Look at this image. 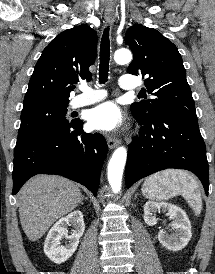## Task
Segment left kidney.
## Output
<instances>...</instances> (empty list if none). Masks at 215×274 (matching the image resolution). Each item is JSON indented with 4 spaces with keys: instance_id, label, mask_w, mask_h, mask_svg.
Here are the masks:
<instances>
[{
    "instance_id": "left-kidney-1",
    "label": "left kidney",
    "mask_w": 215,
    "mask_h": 274,
    "mask_svg": "<svg viewBox=\"0 0 215 274\" xmlns=\"http://www.w3.org/2000/svg\"><path fill=\"white\" fill-rule=\"evenodd\" d=\"M160 210L167 212L173 220L172 226L175 233H166L161 229L158 233L159 242L168 250H182L192 237L191 223L187 214L181 208L170 203L149 201L144 206V220L147 225H156V213Z\"/></svg>"
}]
</instances>
